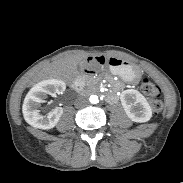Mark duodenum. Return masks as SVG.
<instances>
[{
  "mask_svg": "<svg viewBox=\"0 0 183 183\" xmlns=\"http://www.w3.org/2000/svg\"><path fill=\"white\" fill-rule=\"evenodd\" d=\"M96 72L93 71L92 66H87L85 70L82 71V76H78L77 80L74 81L73 86L75 89L81 88V83L85 82V77H88L89 75H94Z\"/></svg>",
  "mask_w": 183,
  "mask_h": 183,
  "instance_id": "duodenum-1",
  "label": "duodenum"
}]
</instances>
